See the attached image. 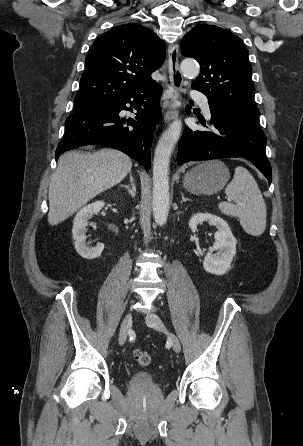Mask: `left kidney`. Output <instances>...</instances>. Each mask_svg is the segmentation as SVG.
I'll list each match as a JSON object with an SVG mask.
<instances>
[{"label":"left kidney","instance_id":"obj_1","mask_svg":"<svg viewBox=\"0 0 303 446\" xmlns=\"http://www.w3.org/2000/svg\"><path fill=\"white\" fill-rule=\"evenodd\" d=\"M203 222H208L217 228L214 234L215 243L213 245V250L217 251V253H208L204 257L203 267L211 274L223 275L230 269L231 262L236 254L237 240L233 236L227 222L210 213L193 215L189 221V227L192 232H195L197 226Z\"/></svg>","mask_w":303,"mask_h":446}]
</instances>
